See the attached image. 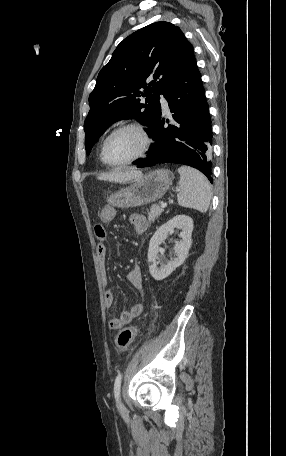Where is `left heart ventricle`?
I'll use <instances>...</instances> for the list:
<instances>
[{"instance_id":"1","label":"left heart ventricle","mask_w":286,"mask_h":456,"mask_svg":"<svg viewBox=\"0 0 286 456\" xmlns=\"http://www.w3.org/2000/svg\"><path fill=\"white\" fill-rule=\"evenodd\" d=\"M143 145L144 139L137 130L125 129L109 140L106 157L111 163H121L139 154Z\"/></svg>"}]
</instances>
